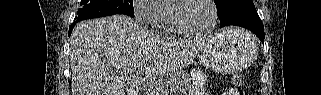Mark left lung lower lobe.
<instances>
[{"mask_svg": "<svg viewBox=\"0 0 321 95\" xmlns=\"http://www.w3.org/2000/svg\"><path fill=\"white\" fill-rule=\"evenodd\" d=\"M221 27L235 25L255 33L264 42V26L252 0H241L229 7L220 17Z\"/></svg>", "mask_w": 321, "mask_h": 95, "instance_id": "1", "label": "left lung lower lobe"}]
</instances>
